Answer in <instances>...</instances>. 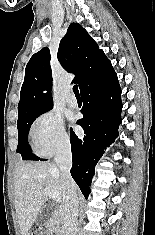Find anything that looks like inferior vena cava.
I'll return each instance as SVG.
<instances>
[{
  "mask_svg": "<svg viewBox=\"0 0 155 235\" xmlns=\"http://www.w3.org/2000/svg\"><path fill=\"white\" fill-rule=\"evenodd\" d=\"M55 164L61 172V182L64 189L63 196V228L65 235H78V194L77 186L73 180L70 169L72 167V153L69 141L62 142L54 158Z\"/></svg>",
  "mask_w": 155,
  "mask_h": 235,
  "instance_id": "obj_1",
  "label": "inferior vena cava"
}]
</instances>
